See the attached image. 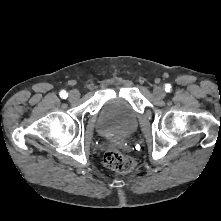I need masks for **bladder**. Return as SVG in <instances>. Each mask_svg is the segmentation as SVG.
<instances>
[{
	"label": "bladder",
	"mask_w": 221,
	"mask_h": 221,
	"mask_svg": "<svg viewBox=\"0 0 221 221\" xmlns=\"http://www.w3.org/2000/svg\"><path fill=\"white\" fill-rule=\"evenodd\" d=\"M138 126V116L132 106L122 99H111L101 107L97 118L99 134L111 136H128Z\"/></svg>",
	"instance_id": "bladder-1"
}]
</instances>
